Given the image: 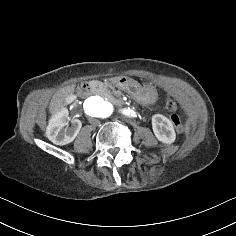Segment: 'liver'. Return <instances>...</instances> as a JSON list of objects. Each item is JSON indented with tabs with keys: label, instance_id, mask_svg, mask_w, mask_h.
I'll return each mask as SVG.
<instances>
[{
	"label": "liver",
	"instance_id": "liver-1",
	"mask_svg": "<svg viewBox=\"0 0 236 236\" xmlns=\"http://www.w3.org/2000/svg\"><path fill=\"white\" fill-rule=\"evenodd\" d=\"M75 85L66 86L58 90L52 97L50 102V111L53 112L56 108H58L61 104L64 103L65 97L68 94H72L74 92Z\"/></svg>",
	"mask_w": 236,
	"mask_h": 236
}]
</instances>
